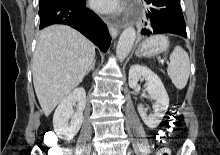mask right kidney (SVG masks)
I'll return each mask as SVG.
<instances>
[{"mask_svg":"<svg viewBox=\"0 0 220 155\" xmlns=\"http://www.w3.org/2000/svg\"><path fill=\"white\" fill-rule=\"evenodd\" d=\"M78 103L77 111L74 113L73 105ZM86 106V92L84 88H76L59 104L53 116V127L55 133L70 140L78 133L83 122V111ZM69 119L71 122L69 123Z\"/></svg>","mask_w":220,"mask_h":155,"instance_id":"obj_1","label":"right kidney"}]
</instances>
